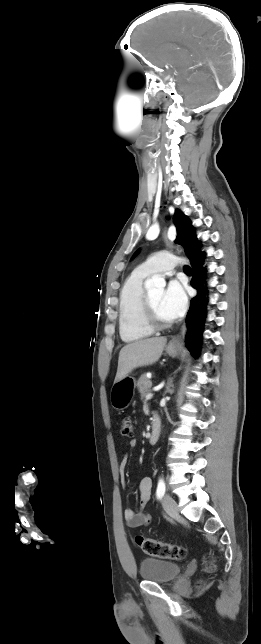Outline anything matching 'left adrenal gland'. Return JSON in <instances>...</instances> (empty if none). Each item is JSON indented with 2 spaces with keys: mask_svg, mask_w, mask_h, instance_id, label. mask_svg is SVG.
Instances as JSON below:
<instances>
[{
  "mask_svg": "<svg viewBox=\"0 0 261 644\" xmlns=\"http://www.w3.org/2000/svg\"><path fill=\"white\" fill-rule=\"evenodd\" d=\"M169 387H170V384H168V386H167V392H169V391H170V388H169Z\"/></svg>",
  "mask_w": 261,
  "mask_h": 644,
  "instance_id": "a2214340",
  "label": "left adrenal gland"
}]
</instances>
